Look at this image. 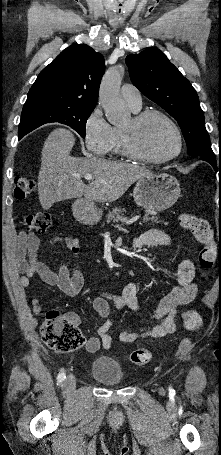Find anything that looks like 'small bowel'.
I'll list each match as a JSON object with an SVG mask.
<instances>
[{"mask_svg": "<svg viewBox=\"0 0 221 455\" xmlns=\"http://www.w3.org/2000/svg\"><path fill=\"white\" fill-rule=\"evenodd\" d=\"M50 245H63L73 256H77L80 250V242L74 237L61 238L53 236L49 239ZM172 240L168 234L157 229H150L135 238L134 245L142 246H169ZM40 238L35 233L22 234L16 250L15 263L18 271L21 273L20 285L27 288L30 279L38 275L46 284L58 287L69 296L77 295L84 283L81 272L76 268L70 269L66 264L60 262L57 271L52 270L38 259L40 248ZM195 278L194 263L184 258L177 269V284L166 294L158 303L156 309L150 318L154 325L140 332L122 331L119 334L120 341L124 343H134L145 339H158L171 334L175 330V321L178 310L191 303L198 292ZM138 285L136 282H130L122 290L120 295L105 292L97 295L93 300V307L97 314L105 318L97 330V337H90L85 344V350L89 353L96 352L101 346L105 349L113 347V339L110 334L112 320L110 316V307L108 299L112 300L116 310L129 308L133 311H140L141 306L138 298ZM33 311L37 314L42 312L40 299L33 297L31 299ZM75 324H79V319L75 315L70 316Z\"/></svg>", "mask_w": 221, "mask_h": 455, "instance_id": "1", "label": "small bowel"}]
</instances>
